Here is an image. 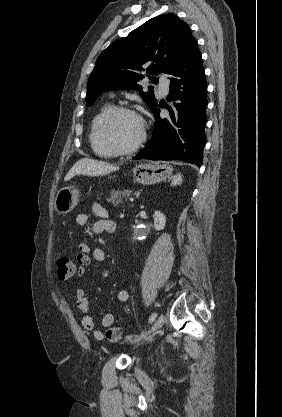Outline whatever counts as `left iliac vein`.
Returning a JSON list of instances; mask_svg holds the SVG:
<instances>
[{"mask_svg":"<svg viewBox=\"0 0 282 417\" xmlns=\"http://www.w3.org/2000/svg\"><path fill=\"white\" fill-rule=\"evenodd\" d=\"M164 322H165V316L164 315H160L157 319H156V321L154 322V324L152 325V327H151V329L146 333V334H143V335H140V336H138V337H135L133 340H131L130 342L131 343H136V342H139V341H141L143 338H145L147 335H150L151 333H153V332H156L157 330H159L162 326H163V324H164Z\"/></svg>","mask_w":282,"mask_h":417,"instance_id":"obj_1","label":"left iliac vein"}]
</instances>
